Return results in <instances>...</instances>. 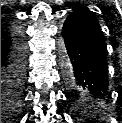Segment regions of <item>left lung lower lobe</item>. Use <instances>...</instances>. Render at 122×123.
<instances>
[{
	"label": "left lung lower lobe",
	"mask_w": 122,
	"mask_h": 123,
	"mask_svg": "<svg viewBox=\"0 0 122 123\" xmlns=\"http://www.w3.org/2000/svg\"><path fill=\"white\" fill-rule=\"evenodd\" d=\"M61 54L63 81L73 98L108 97L107 48L99 27L70 14L62 28Z\"/></svg>",
	"instance_id": "obj_1"
}]
</instances>
